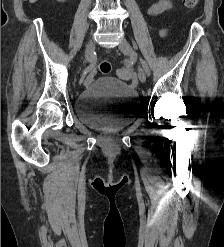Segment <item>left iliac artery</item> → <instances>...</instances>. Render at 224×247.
<instances>
[{
    "instance_id": "44dca946",
    "label": "left iliac artery",
    "mask_w": 224,
    "mask_h": 247,
    "mask_svg": "<svg viewBox=\"0 0 224 247\" xmlns=\"http://www.w3.org/2000/svg\"><path fill=\"white\" fill-rule=\"evenodd\" d=\"M140 61H141V64H142V66H143V68H144L146 74L149 76V75H150V70H149V68H148V66H147V64H146V62H145L143 59H141V58H140Z\"/></svg>"
}]
</instances>
